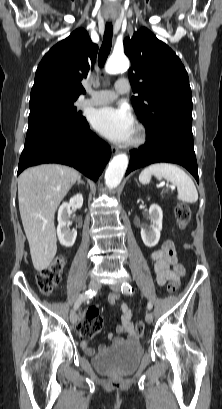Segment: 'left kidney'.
<instances>
[{
    "label": "left kidney",
    "instance_id": "1",
    "mask_svg": "<svg viewBox=\"0 0 222 409\" xmlns=\"http://www.w3.org/2000/svg\"><path fill=\"white\" fill-rule=\"evenodd\" d=\"M149 218L152 224L141 229V238L147 247H154L159 242L162 230L163 212L159 205L152 204L150 206Z\"/></svg>",
    "mask_w": 222,
    "mask_h": 409
}]
</instances>
